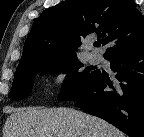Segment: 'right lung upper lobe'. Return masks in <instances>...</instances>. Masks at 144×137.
<instances>
[{"instance_id":"cb5924a9","label":"right lung upper lobe","mask_w":144,"mask_h":137,"mask_svg":"<svg viewBox=\"0 0 144 137\" xmlns=\"http://www.w3.org/2000/svg\"><path fill=\"white\" fill-rule=\"evenodd\" d=\"M97 34L104 57L144 41V17L134 0H68L44 10L26 39L20 65L76 56L81 39Z\"/></svg>"}]
</instances>
